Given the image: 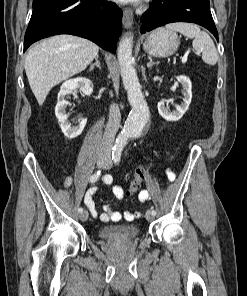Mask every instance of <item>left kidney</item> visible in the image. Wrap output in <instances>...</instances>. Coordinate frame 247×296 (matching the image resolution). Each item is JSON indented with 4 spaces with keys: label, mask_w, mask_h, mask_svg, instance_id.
Listing matches in <instances>:
<instances>
[{
    "label": "left kidney",
    "mask_w": 247,
    "mask_h": 296,
    "mask_svg": "<svg viewBox=\"0 0 247 296\" xmlns=\"http://www.w3.org/2000/svg\"><path fill=\"white\" fill-rule=\"evenodd\" d=\"M177 80L183 87L184 98L181 105H176V110L172 112L167 107H165L163 102H159L157 105L159 114L167 121H178L181 119L188 110L192 99V84L190 79L186 76H178Z\"/></svg>",
    "instance_id": "left-kidney-1"
}]
</instances>
